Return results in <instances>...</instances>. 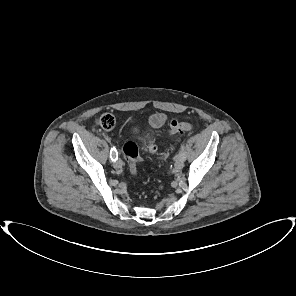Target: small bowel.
Segmentation results:
<instances>
[{
    "mask_svg": "<svg viewBox=\"0 0 296 296\" xmlns=\"http://www.w3.org/2000/svg\"><path fill=\"white\" fill-rule=\"evenodd\" d=\"M166 121L167 116L164 113L153 114L149 119V123L153 128H160L166 123Z\"/></svg>",
    "mask_w": 296,
    "mask_h": 296,
    "instance_id": "1",
    "label": "small bowel"
}]
</instances>
